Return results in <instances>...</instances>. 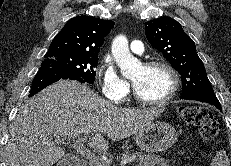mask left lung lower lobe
<instances>
[{
	"instance_id": "1",
	"label": "left lung lower lobe",
	"mask_w": 231,
	"mask_h": 166,
	"mask_svg": "<svg viewBox=\"0 0 231 166\" xmlns=\"http://www.w3.org/2000/svg\"><path fill=\"white\" fill-rule=\"evenodd\" d=\"M182 99L206 102L214 105L220 111H222L221 104L215 95H193V96L184 97Z\"/></svg>"
}]
</instances>
